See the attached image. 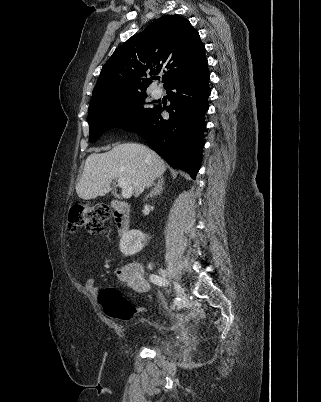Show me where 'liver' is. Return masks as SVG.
<instances>
[{"mask_svg":"<svg viewBox=\"0 0 321 402\" xmlns=\"http://www.w3.org/2000/svg\"><path fill=\"white\" fill-rule=\"evenodd\" d=\"M165 170L164 160L148 147L138 143L120 144L108 152L87 157L76 192L81 199H94L108 193L113 180L125 178L138 197L144 191L147 176L161 177Z\"/></svg>","mask_w":321,"mask_h":402,"instance_id":"obj_1","label":"liver"}]
</instances>
